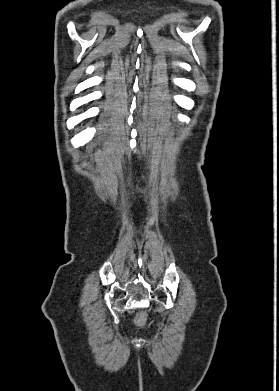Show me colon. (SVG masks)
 I'll list each match as a JSON object with an SVG mask.
<instances>
[{
  "instance_id": "1",
  "label": "colon",
  "mask_w": 279,
  "mask_h": 391,
  "mask_svg": "<svg viewBox=\"0 0 279 391\" xmlns=\"http://www.w3.org/2000/svg\"><path fill=\"white\" fill-rule=\"evenodd\" d=\"M146 318H147V314L145 311H141L137 317H136V324L139 326V327H143L145 325V322H146Z\"/></svg>"
}]
</instances>
